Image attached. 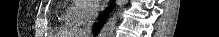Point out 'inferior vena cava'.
<instances>
[{
	"label": "inferior vena cava",
	"mask_w": 219,
	"mask_h": 37,
	"mask_svg": "<svg viewBox=\"0 0 219 37\" xmlns=\"http://www.w3.org/2000/svg\"><path fill=\"white\" fill-rule=\"evenodd\" d=\"M98 11H99V7L97 5H92L89 8V12L87 16V23H86V26L82 30V34H84L85 37H89L91 35V28H92V25L95 19L97 18Z\"/></svg>",
	"instance_id": "1"
}]
</instances>
